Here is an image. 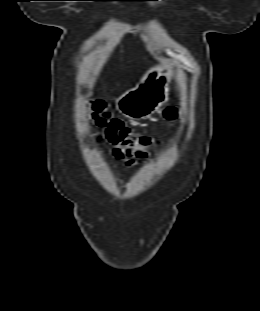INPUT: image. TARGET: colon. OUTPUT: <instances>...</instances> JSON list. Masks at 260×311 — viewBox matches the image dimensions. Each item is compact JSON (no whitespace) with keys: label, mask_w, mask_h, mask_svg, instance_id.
<instances>
[{"label":"colon","mask_w":260,"mask_h":311,"mask_svg":"<svg viewBox=\"0 0 260 311\" xmlns=\"http://www.w3.org/2000/svg\"><path fill=\"white\" fill-rule=\"evenodd\" d=\"M88 108L97 125L103 129L105 140L114 148L116 157H134L147 159L150 155L149 148L154 143L150 137L137 134L118 119L112 118L106 111L105 104L101 100L91 99ZM179 116L177 105L171 104L164 110V117L173 123Z\"/></svg>","instance_id":"colon-1"}]
</instances>
